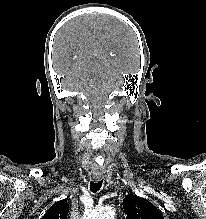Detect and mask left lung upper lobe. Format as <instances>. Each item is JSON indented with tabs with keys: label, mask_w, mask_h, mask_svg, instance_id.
<instances>
[{
	"label": "left lung upper lobe",
	"mask_w": 206,
	"mask_h": 219,
	"mask_svg": "<svg viewBox=\"0 0 206 219\" xmlns=\"http://www.w3.org/2000/svg\"><path fill=\"white\" fill-rule=\"evenodd\" d=\"M122 204L126 219H164L151 202L135 195L126 196Z\"/></svg>",
	"instance_id": "5c2ea615"
}]
</instances>
